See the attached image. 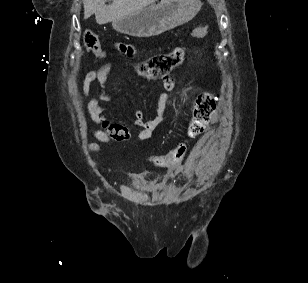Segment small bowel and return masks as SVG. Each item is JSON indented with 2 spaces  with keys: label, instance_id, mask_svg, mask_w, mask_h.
I'll use <instances>...</instances> for the list:
<instances>
[{
  "label": "small bowel",
  "instance_id": "c3829d8e",
  "mask_svg": "<svg viewBox=\"0 0 308 283\" xmlns=\"http://www.w3.org/2000/svg\"><path fill=\"white\" fill-rule=\"evenodd\" d=\"M118 49L129 56H133L137 53V50L130 46L120 44ZM111 72V66L105 65L99 70L89 71L83 81L82 93L87 97L90 93L91 86L95 82L98 83L100 93L97 98L90 99L86 104V113L88 119L100 126V128L94 129L92 135L95 138V142L89 144V150L94 154H98L101 144H107L112 141H127L131 132L126 126L112 122L105 114V108L103 103L110 100V96L106 94L105 88L107 87L109 74ZM169 91L172 85H165ZM166 94L162 93L158 101L157 115L152 119H146L142 110H136L134 113V125L138 130L140 139H148L152 136L154 129L161 123L165 117L166 111ZM195 170L191 161H188L177 167V172L191 176V173Z\"/></svg>",
  "mask_w": 308,
  "mask_h": 283
}]
</instances>
